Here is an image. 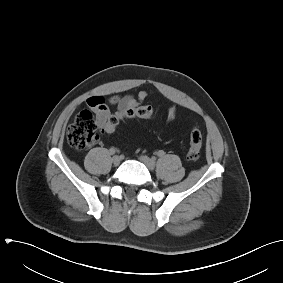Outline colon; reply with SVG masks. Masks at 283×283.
Segmentation results:
<instances>
[{"label":"colon","mask_w":283,"mask_h":283,"mask_svg":"<svg viewBox=\"0 0 283 283\" xmlns=\"http://www.w3.org/2000/svg\"><path fill=\"white\" fill-rule=\"evenodd\" d=\"M155 115L153 108L150 106L138 105L128 108L122 112H116L111 115L101 128V132L106 135H111L119 123L127 118H152ZM68 143L76 149H86L94 145L98 138V126L92 113L88 110H83L75 117L74 121L67 128ZM202 133L194 127L191 130L189 137V150L187 158L191 161H196L200 158L202 149Z\"/></svg>","instance_id":"1"}]
</instances>
